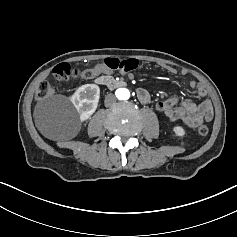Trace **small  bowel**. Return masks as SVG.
<instances>
[{
	"label": "small bowel",
	"instance_id": "obj_1",
	"mask_svg": "<svg viewBox=\"0 0 237 237\" xmlns=\"http://www.w3.org/2000/svg\"><path fill=\"white\" fill-rule=\"evenodd\" d=\"M165 70L170 74H176L177 69L172 66H165ZM112 70L104 63H99L90 69L83 70L81 78L92 79L96 76L108 74ZM187 74V71H182ZM190 87L196 89L200 97H206L205 86L195 80L190 81ZM136 96L140 103L148 105L152 102L150 93L144 88L136 90ZM157 111L163 113L171 122L180 121L190 128H196L203 122L211 121L214 115L213 106L210 100L205 99L199 104L191 101H179L177 98L160 100L154 104Z\"/></svg>",
	"mask_w": 237,
	"mask_h": 237
}]
</instances>
